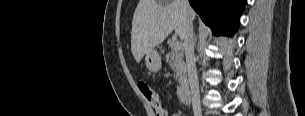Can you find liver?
<instances>
[{"mask_svg": "<svg viewBox=\"0 0 305 116\" xmlns=\"http://www.w3.org/2000/svg\"><path fill=\"white\" fill-rule=\"evenodd\" d=\"M193 20L195 11L190 7ZM186 16L182 0H140L133 15L131 51L137 63L145 54L161 44L173 30L185 37Z\"/></svg>", "mask_w": 305, "mask_h": 116, "instance_id": "liver-1", "label": "liver"}]
</instances>
